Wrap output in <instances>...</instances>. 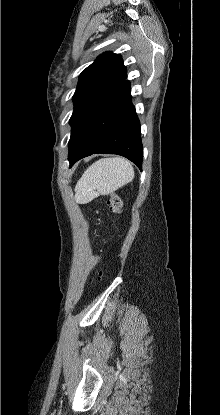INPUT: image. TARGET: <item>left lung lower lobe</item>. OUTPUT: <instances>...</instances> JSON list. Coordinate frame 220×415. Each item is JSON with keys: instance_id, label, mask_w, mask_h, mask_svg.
<instances>
[{"instance_id": "left-lung-lower-lobe-1", "label": "left lung lower lobe", "mask_w": 220, "mask_h": 415, "mask_svg": "<svg viewBox=\"0 0 220 415\" xmlns=\"http://www.w3.org/2000/svg\"><path fill=\"white\" fill-rule=\"evenodd\" d=\"M125 79L107 86L85 113L69 147L70 167L86 156L106 153L124 156L142 170L140 122Z\"/></svg>"}]
</instances>
